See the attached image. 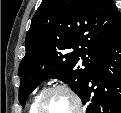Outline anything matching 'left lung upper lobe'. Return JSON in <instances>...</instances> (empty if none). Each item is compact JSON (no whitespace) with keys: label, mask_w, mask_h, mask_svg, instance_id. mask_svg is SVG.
<instances>
[{"label":"left lung upper lobe","mask_w":121,"mask_h":113,"mask_svg":"<svg viewBox=\"0 0 121 113\" xmlns=\"http://www.w3.org/2000/svg\"><path fill=\"white\" fill-rule=\"evenodd\" d=\"M121 15L113 0H43L25 39L19 66V101L49 78L69 84L80 96Z\"/></svg>","instance_id":"1"}]
</instances>
